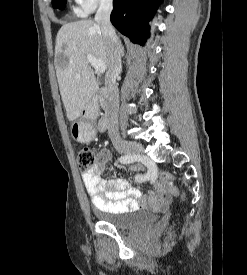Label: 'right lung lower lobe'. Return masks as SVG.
Returning a JSON list of instances; mask_svg holds the SVG:
<instances>
[{"label": "right lung lower lobe", "mask_w": 247, "mask_h": 275, "mask_svg": "<svg viewBox=\"0 0 247 275\" xmlns=\"http://www.w3.org/2000/svg\"><path fill=\"white\" fill-rule=\"evenodd\" d=\"M163 0H114L112 24L133 43L144 45L149 36L148 22Z\"/></svg>", "instance_id": "98d812e1"}]
</instances>
